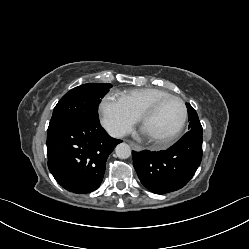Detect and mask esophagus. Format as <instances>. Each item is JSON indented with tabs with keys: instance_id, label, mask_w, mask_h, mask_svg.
Segmentation results:
<instances>
[{
	"instance_id": "esophagus-1",
	"label": "esophagus",
	"mask_w": 249,
	"mask_h": 249,
	"mask_svg": "<svg viewBox=\"0 0 249 249\" xmlns=\"http://www.w3.org/2000/svg\"><path fill=\"white\" fill-rule=\"evenodd\" d=\"M129 145L131 146V148L133 149V150H135V151H141L142 150V148L140 147V146H138V145H136V144H134V143H132V142H129Z\"/></svg>"
}]
</instances>
